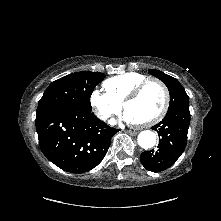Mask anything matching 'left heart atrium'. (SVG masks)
Segmentation results:
<instances>
[{
    "label": "left heart atrium",
    "instance_id": "left-heart-atrium-1",
    "mask_svg": "<svg viewBox=\"0 0 221 221\" xmlns=\"http://www.w3.org/2000/svg\"><path fill=\"white\" fill-rule=\"evenodd\" d=\"M122 119L127 123H135L132 116L127 111L124 112Z\"/></svg>",
    "mask_w": 221,
    "mask_h": 221
}]
</instances>
